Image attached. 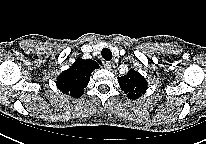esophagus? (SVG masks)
<instances>
[{
	"label": "esophagus",
	"instance_id": "34e87169",
	"mask_svg": "<svg viewBox=\"0 0 206 144\" xmlns=\"http://www.w3.org/2000/svg\"><path fill=\"white\" fill-rule=\"evenodd\" d=\"M103 63H104V67H105L106 69H111L112 66H113V63H112L111 61H105V62H103Z\"/></svg>",
	"mask_w": 206,
	"mask_h": 144
}]
</instances>
